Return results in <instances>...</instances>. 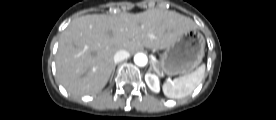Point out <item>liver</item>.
<instances>
[{
	"instance_id": "liver-1",
	"label": "liver",
	"mask_w": 276,
	"mask_h": 120,
	"mask_svg": "<svg viewBox=\"0 0 276 120\" xmlns=\"http://www.w3.org/2000/svg\"><path fill=\"white\" fill-rule=\"evenodd\" d=\"M192 29L196 25L190 18L163 9L76 18L60 37L57 78L73 95H96L112 74L117 51L166 49Z\"/></svg>"
}]
</instances>
